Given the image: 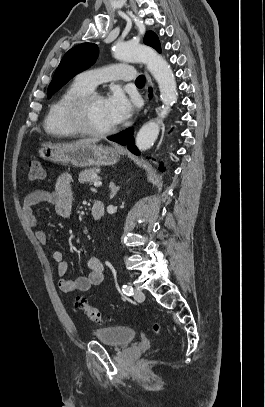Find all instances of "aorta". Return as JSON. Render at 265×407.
<instances>
[{
    "instance_id": "obj_1",
    "label": "aorta",
    "mask_w": 265,
    "mask_h": 407,
    "mask_svg": "<svg viewBox=\"0 0 265 407\" xmlns=\"http://www.w3.org/2000/svg\"><path fill=\"white\" fill-rule=\"evenodd\" d=\"M113 55L117 60L127 62H143L159 85L160 99L163 103L159 113L165 118L170 107L178 98L177 85L170 65L153 49L144 45L125 42L114 46ZM160 131L159 120L149 121L139 130L136 137V146L145 151L153 146Z\"/></svg>"
}]
</instances>
